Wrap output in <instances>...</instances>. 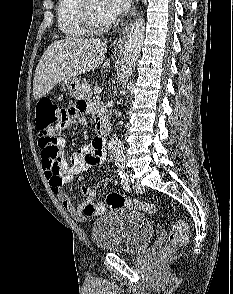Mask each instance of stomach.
<instances>
[{
  "label": "stomach",
  "mask_w": 233,
  "mask_h": 294,
  "mask_svg": "<svg viewBox=\"0 0 233 294\" xmlns=\"http://www.w3.org/2000/svg\"><path fill=\"white\" fill-rule=\"evenodd\" d=\"M81 84L82 82L78 77H72L62 81L61 89L71 97H79Z\"/></svg>",
  "instance_id": "1"
}]
</instances>
